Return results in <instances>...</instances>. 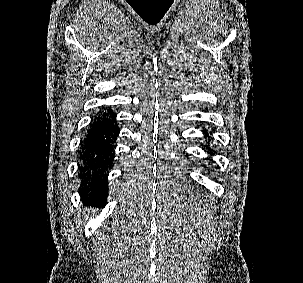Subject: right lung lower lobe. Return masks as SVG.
I'll return each instance as SVG.
<instances>
[{"label": "right lung lower lobe", "mask_w": 303, "mask_h": 283, "mask_svg": "<svg viewBox=\"0 0 303 283\" xmlns=\"http://www.w3.org/2000/svg\"><path fill=\"white\" fill-rule=\"evenodd\" d=\"M112 110L100 113L83 141L81 150L82 198L90 204L106 203L108 186L105 170L111 165L114 155L112 147L119 128Z\"/></svg>", "instance_id": "obj_1"}]
</instances>
